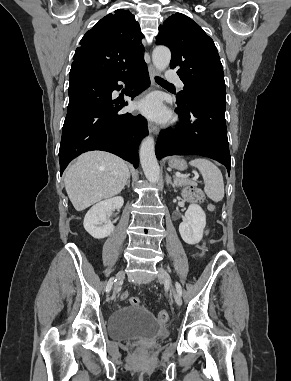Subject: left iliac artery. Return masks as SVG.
Here are the masks:
<instances>
[{
  "instance_id": "obj_1",
  "label": "left iliac artery",
  "mask_w": 291,
  "mask_h": 381,
  "mask_svg": "<svg viewBox=\"0 0 291 381\" xmlns=\"http://www.w3.org/2000/svg\"><path fill=\"white\" fill-rule=\"evenodd\" d=\"M175 286H176V289H177V292L179 293V295L181 296L182 295V288H181V285L176 282L175 283Z\"/></svg>"
}]
</instances>
